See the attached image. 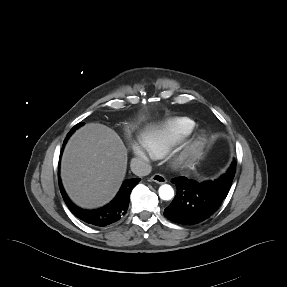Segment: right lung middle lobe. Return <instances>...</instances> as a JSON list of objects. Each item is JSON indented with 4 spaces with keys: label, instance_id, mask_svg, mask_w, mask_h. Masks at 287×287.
Wrapping results in <instances>:
<instances>
[{
    "label": "right lung middle lobe",
    "instance_id": "right-lung-middle-lobe-1",
    "mask_svg": "<svg viewBox=\"0 0 287 287\" xmlns=\"http://www.w3.org/2000/svg\"><path fill=\"white\" fill-rule=\"evenodd\" d=\"M83 124H84V123H79V124L75 125V126L71 129V131H72V132L75 131L78 127L82 126Z\"/></svg>",
    "mask_w": 287,
    "mask_h": 287
}]
</instances>
